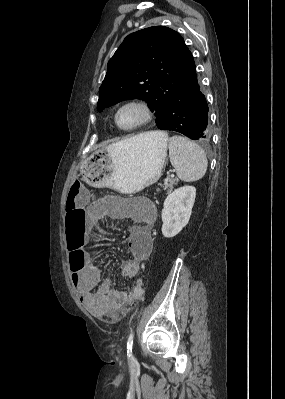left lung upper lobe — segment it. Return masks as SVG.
Listing matches in <instances>:
<instances>
[{
    "instance_id": "5c2ea615",
    "label": "left lung upper lobe",
    "mask_w": 285,
    "mask_h": 399,
    "mask_svg": "<svg viewBox=\"0 0 285 399\" xmlns=\"http://www.w3.org/2000/svg\"><path fill=\"white\" fill-rule=\"evenodd\" d=\"M99 88L98 111L127 99L148 103L161 128L177 88L195 73V63L181 35L164 26L129 34L108 62Z\"/></svg>"
}]
</instances>
